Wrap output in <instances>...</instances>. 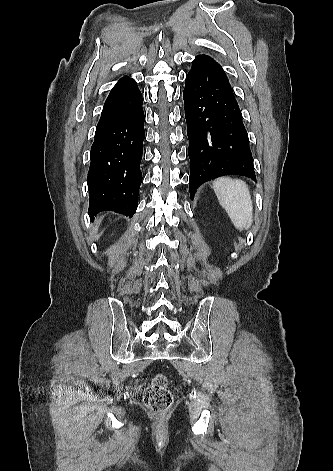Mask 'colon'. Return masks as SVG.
Masks as SVG:
<instances>
[{"label": "colon", "instance_id": "5ec220e1", "mask_svg": "<svg viewBox=\"0 0 333 471\" xmlns=\"http://www.w3.org/2000/svg\"><path fill=\"white\" fill-rule=\"evenodd\" d=\"M144 404L158 414L167 413L173 404V395L168 387L166 375H155L151 383L144 390Z\"/></svg>", "mask_w": 333, "mask_h": 471}]
</instances>
